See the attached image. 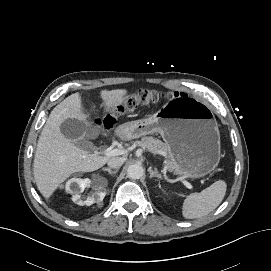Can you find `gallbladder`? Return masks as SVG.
Here are the masks:
<instances>
[{
	"label": "gallbladder",
	"instance_id": "1",
	"mask_svg": "<svg viewBox=\"0 0 271 271\" xmlns=\"http://www.w3.org/2000/svg\"><path fill=\"white\" fill-rule=\"evenodd\" d=\"M60 131L63 136L74 143L77 147L84 150H92V144L82 138L83 136L92 137L97 132V128L93 125H86L84 122L68 118L60 125Z\"/></svg>",
	"mask_w": 271,
	"mask_h": 271
}]
</instances>
